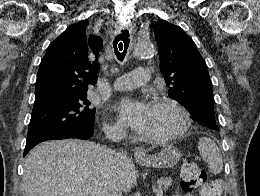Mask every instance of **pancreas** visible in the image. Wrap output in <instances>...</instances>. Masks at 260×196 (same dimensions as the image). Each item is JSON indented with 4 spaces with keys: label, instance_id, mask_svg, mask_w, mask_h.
Masks as SVG:
<instances>
[{
    "label": "pancreas",
    "instance_id": "cf45deb5",
    "mask_svg": "<svg viewBox=\"0 0 260 196\" xmlns=\"http://www.w3.org/2000/svg\"><path fill=\"white\" fill-rule=\"evenodd\" d=\"M172 178H160V180H158L157 184H159V186H162L163 190H168V188H170V186H172Z\"/></svg>",
    "mask_w": 260,
    "mask_h": 196
}]
</instances>
